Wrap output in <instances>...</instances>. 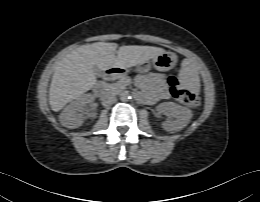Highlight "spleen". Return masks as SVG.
Masks as SVG:
<instances>
[{"label":"spleen","mask_w":260,"mask_h":202,"mask_svg":"<svg viewBox=\"0 0 260 202\" xmlns=\"http://www.w3.org/2000/svg\"><path fill=\"white\" fill-rule=\"evenodd\" d=\"M180 76L184 82V84L188 87H197L196 89H198V85L196 84V82H198V77L197 74L189 67H184L181 70Z\"/></svg>","instance_id":"obj_1"}]
</instances>
